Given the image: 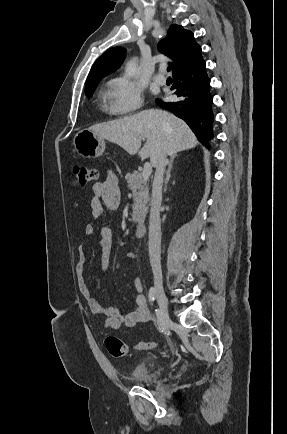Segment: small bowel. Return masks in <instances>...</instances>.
Listing matches in <instances>:
<instances>
[{
	"label": "small bowel",
	"instance_id": "c3829d8e",
	"mask_svg": "<svg viewBox=\"0 0 287 434\" xmlns=\"http://www.w3.org/2000/svg\"><path fill=\"white\" fill-rule=\"evenodd\" d=\"M93 197L90 200L92 219L85 226V234L87 236L97 234L100 238L101 246V263L100 269L102 273H106L110 254L113 244L114 233L109 226H97L94 220L103 215L106 211L114 210L118 207L120 201V189L118 185V177L108 171L103 181L96 182L92 186ZM124 258L128 262L136 260L134 251H127ZM87 258L83 246L78 247V263L75 270L76 284L80 294L86 299L90 311L97 315L105 317L103 325L111 330H117L121 326L126 328H134L139 323H145L150 320V311L147 305L146 297L143 293V284L139 277L134 279L135 295V310L130 314H123L120 308L104 305L91 295L90 289L86 282L85 270Z\"/></svg>",
	"mask_w": 287,
	"mask_h": 434
}]
</instances>
